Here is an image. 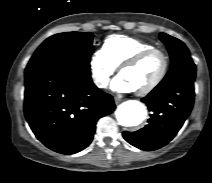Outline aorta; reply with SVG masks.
Listing matches in <instances>:
<instances>
[{"label": "aorta", "instance_id": "762f6f07", "mask_svg": "<svg viewBox=\"0 0 212 183\" xmlns=\"http://www.w3.org/2000/svg\"><path fill=\"white\" fill-rule=\"evenodd\" d=\"M146 114V109L141 102L129 100L118 107L116 118L120 125L132 127L140 125L145 120Z\"/></svg>", "mask_w": 212, "mask_h": 183}]
</instances>
